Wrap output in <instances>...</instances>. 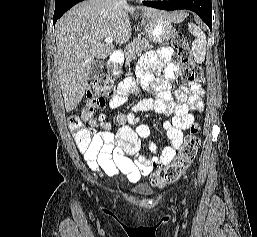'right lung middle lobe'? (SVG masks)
Wrapping results in <instances>:
<instances>
[{
	"mask_svg": "<svg viewBox=\"0 0 257 237\" xmlns=\"http://www.w3.org/2000/svg\"><path fill=\"white\" fill-rule=\"evenodd\" d=\"M58 1H61V0H55V2H58Z\"/></svg>",
	"mask_w": 257,
	"mask_h": 237,
	"instance_id": "1",
	"label": "right lung middle lobe"
}]
</instances>
